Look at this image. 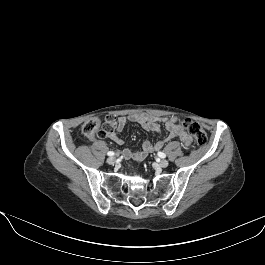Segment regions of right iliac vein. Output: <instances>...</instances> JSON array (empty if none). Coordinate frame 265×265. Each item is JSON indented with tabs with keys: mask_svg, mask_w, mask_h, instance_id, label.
<instances>
[{
	"mask_svg": "<svg viewBox=\"0 0 265 265\" xmlns=\"http://www.w3.org/2000/svg\"><path fill=\"white\" fill-rule=\"evenodd\" d=\"M115 161H116V159H115L114 157H109V158L107 159V163L110 164V165L114 164Z\"/></svg>",
	"mask_w": 265,
	"mask_h": 265,
	"instance_id": "1",
	"label": "right iliac vein"
}]
</instances>
